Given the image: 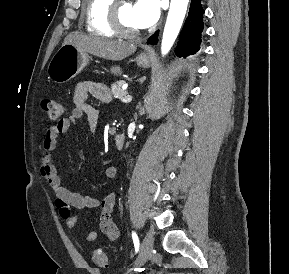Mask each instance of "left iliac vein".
<instances>
[{
    "mask_svg": "<svg viewBox=\"0 0 289 274\" xmlns=\"http://www.w3.org/2000/svg\"><path fill=\"white\" fill-rule=\"evenodd\" d=\"M153 243L154 239L152 233L147 232L142 241L140 253L135 261V265H143L146 261H148L152 255Z\"/></svg>",
    "mask_w": 289,
    "mask_h": 274,
    "instance_id": "4c4485c4",
    "label": "left iliac vein"
}]
</instances>
